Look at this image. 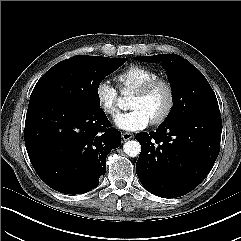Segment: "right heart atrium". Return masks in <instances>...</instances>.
<instances>
[{"mask_svg": "<svg viewBox=\"0 0 241 241\" xmlns=\"http://www.w3.org/2000/svg\"><path fill=\"white\" fill-rule=\"evenodd\" d=\"M94 94L100 109L106 115L115 116L118 113V92L108 80L99 81Z\"/></svg>", "mask_w": 241, "mask_h": 241, "instance_id": "d8ad5b80", "label": "right heart atrium"}]
</instances>
